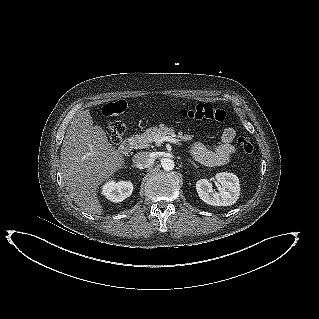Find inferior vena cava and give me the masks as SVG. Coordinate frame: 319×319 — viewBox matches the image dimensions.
<instances>
[{"mask_svg": "<svg viewBox=\"0 0 319 319\" xmlns=\"http://www.w3.org/2000/svg\"><path fill=\"white\" fill-rule=\"evenodd\" d=\"M132 161L135 167L144 169L154 162V158L148 152H138L133 156Z\"/></svg>", "mask_w": 319, "mask_h": 319, "instance_id": "602c4592", "label": "inferior vena cava"}]
</instances>
